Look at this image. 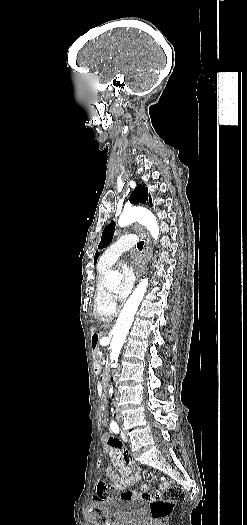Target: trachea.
Segmentation results:
<instances>
[{"label":"trachea","mask_w":247,"mask_h":525,"mask_svg":"<svg viewBox=\"0 0 247 525\" xmlns=\"http://www.w3.org/2000/svg\"><path fill=\"white\" fill-rule=\"evenodd\" d=\"M143 247H144V242H143V241L138 242V244H137V248H138L139 250H142Z\"/></svg>","instance_id":"obj_1"}]
</instances>
